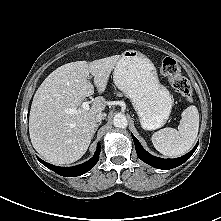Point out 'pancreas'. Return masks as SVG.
I'll use <instances>...</instances> for the list:
<instances>
[{
    "instance_id": "pancreas-1",
    "label": "pancreas",
    "mask_w": 221,
    "mask_h": 221,
    "mask_svg": "<svg viewBox=\"0 0 221 221\" xmlns=\"http://www.w3.org/2000/svg\"><path fill=\"white\" fill-rule=\"evenodd\" d=\"M118 96H121V94L119 93V94H117Z\"/></svg>"
}]
</instances>
